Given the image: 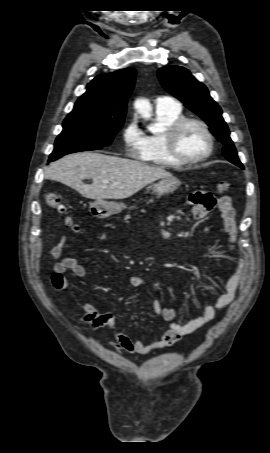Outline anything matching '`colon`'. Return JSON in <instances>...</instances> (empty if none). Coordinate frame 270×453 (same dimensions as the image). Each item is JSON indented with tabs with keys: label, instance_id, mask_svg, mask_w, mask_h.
Returning a JSON list of instances; mask_svg holds the SVG:
<instances>
[{
	"label": "colon",
	"instance_id": "obj_1",
	"mask_svg": "<svg viewBox=\"0 0 270 453\" xmlns=\"http://www.w3.org/2000/svg\"><path fill=\"white\" fill-rule=\"evenodd\" d=\"M230 187H231V185L229 182L220 181L216 185V192L219 194L225 193L230 190ZM195 196H196V200L200 204L204 205L207 209H212L213 206L215 205V198L209 193L197 192V193H195ZM45 199H46V203L51 208L57 210L60 213H63L65 211V206L59 195H57L55 193H48L46 195ZM65 223L67 225L72 226L74 229H76V227L73 226V221L70 217L65 218ZM52 283L56 289H60L61 283H62V277L58 274H54L52 276Z\"/></svg>",
	"mask_w": 270,
	"mask_h": 453
}]
</instances>
